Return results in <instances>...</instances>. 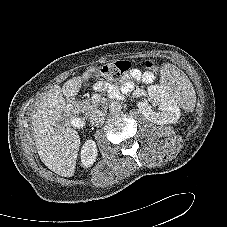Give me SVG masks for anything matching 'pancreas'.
<instances>
[{
	"label": "pancreas",
	"mask_w": 227,
	"mask_h": 227,
	"mask_svg": "<svg viewBox=\"0 0 227 227\" xmlns=\"http://www.w3.org/2000/svg\"><path fill=\"white\" fill-rule=\"evenodd\" d=\"M98 104L93 102V101H89V100H83L80 101L79 103H77V107L81 112L84 113H91L93 112L96 108H97Z\"/></svg>",
	"instance_id": "cf45deb5"
}]
</instances>
